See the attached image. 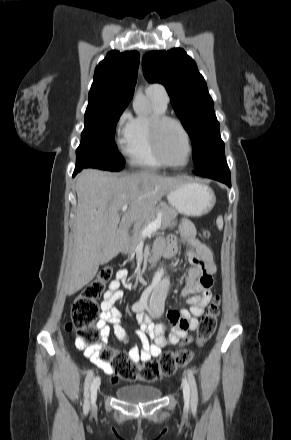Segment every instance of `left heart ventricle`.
<instances>
[{"label": "left heart ventricle", "mask_w": 291, "mask_h": 440, "mask_svg": "<svg viewBox=\"0 0 291 440\" xmlns=\"http://www.w3.org/2000/svg\"><path fill=\"white\" fill-rule=\"evenodd\" d=\"M160 144L162 153L169 162L181 164L186 160V140L175 124L168 123L163 127Z\"/></svg>", "instance_id": "obj_1"}]
</instances>
